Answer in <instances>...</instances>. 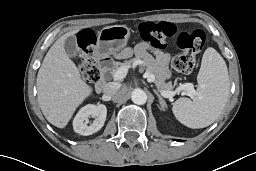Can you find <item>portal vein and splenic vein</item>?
<instances>
[{"label": "portal vein and splenic vein", "instance_id": "portal-vein-and-splenic-vein-1", "mask_svg": "<svg viewBox=\"0 0 256 171\" xmlns=\"http://www.w3.org/2000/svg\"><path fill=\"white\" fill-rule=\"evenodd\" d=\"M128 67L124 66V67H120L114 74H113V78L115 80H121L123 78L126 77L127 72H128ZM147 80L148 82H154L155 77L154 75H147ZM180 90H184L187 92L188 95H194L195 94V90L194 87L191 83H186L184 85L181 86V88L177 89V91H166V90H161V94L166 97V98H172L177 92H180Z\"/></svg>", "mask_w": 256, "mask_h": 171}]
</instances>
